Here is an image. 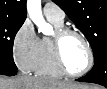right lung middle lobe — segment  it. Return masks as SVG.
<instances>
[{"instance_id":"dd1d6c3e","label":"right lung middle lobe","mask_w":107,"mask_h":89,"mask_svg":"<svg viewBox=\"0 0 107 89\" xmlns=\"http://www.w3.org/2000/svg\"><path fill=\"white\" fill-rule=\"evenodd\" d=\"M24 21L0 17V71H17L13 61V42Z\"/></svg>"}]
</instances>
